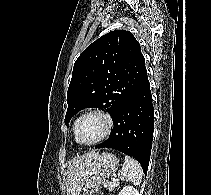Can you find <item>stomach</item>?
Listing matches in <instances>:
<instances>
[{"instance_id":"0dacf381","label":"stomach","mask_w":211,"mask_h":195,"mask_svg":"<svg viewBox=\"0 0 211 195\" xmlns=\"http://www.w3.org/2000/svg\"><path fill=\"white\" fill-rule=\"evenodd\" d=\"M119 160L111 153L104 152L93 158L84 182V193L81 195H92L88 189L97 186L118 168Z\"/></svg>"}]
</instances>
